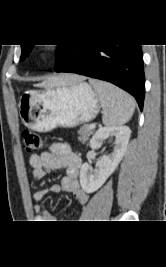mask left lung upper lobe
Segmentation results:
<instances>
[{
    "mask_svg": "<svg viewBox=\"0 0 166 267\" xmlns=\"http://www.w3.org/2000/svg\"><path fill=\"white\" fill-rule=\"evenodd\" d=\"M21 47H22V54H21V58L20 59L24 60L29 55L33 45L24 44V45H21ZM66 47H67V45H61L60 48H57L56 54L59 57V60L61 59L62 54H63V52H64Z\"/></svg>",
    "mask_w": 166,
    "mask_h": 267,
    "instance_id": "1",
    "label": "left lung upper lobe"
}]
</instances>
